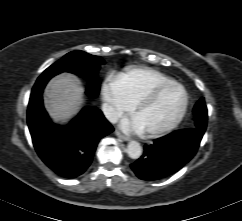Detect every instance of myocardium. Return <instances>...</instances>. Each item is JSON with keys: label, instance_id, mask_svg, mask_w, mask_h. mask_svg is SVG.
Returning <instances> with one entry per match:
<instances>
[{"label": "myocardium", "instance_id": "f54148a6", "mask_svg": "<svg viewBox=\"0 0 242 221\" xmlns=\"http://www.w3.org/2000/svg\"><path fill=\"white\" fill-rule=\"evenodd\" d=\"M171 87H178L183 92L184 99H183V104L181 106V109L179 110L178 114L174 117V119L171 122H169L167 125H165L164 127L160 128V129H156V130L144 131V134L148 137H158V136L167 134L181 122V120L183 119V117L186 114V111H187V108L189 105L188 92L181 83H179L177 81H171V82L156 86L134 106L133 114H136L137 112H139L142 109L151 105L159 97V95L162 92H164L165 90H167Z\"/></svg>", "mask_w": 242, "mask_h": 221}]
</instances>
